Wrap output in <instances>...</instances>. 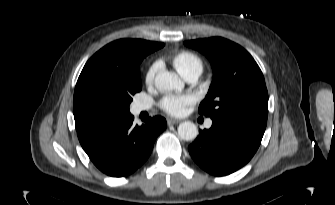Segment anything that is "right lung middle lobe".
<instances>
[{
    "mask_svg": "<svg viewBox=\"0 0 335 205\" xmlns=\"http://www.w3.org/2000/svg\"><path fill=\"white\" fill-rule=\"evenodd\" d=\"M142 60L143 57L137 61L134 73L124 87L112 93L96 95L90 100L89 109L93 115L118 118L130 114L132 95L142 89L139 68Z\"/></svg>",
    "mask_w": 335,
    "mask_h": 205,
    "instance_id": "dd1d6c3e",
    "label": "right lung middle lobe"
}]
</instances>
